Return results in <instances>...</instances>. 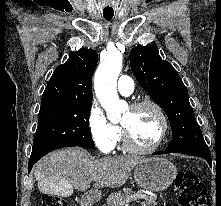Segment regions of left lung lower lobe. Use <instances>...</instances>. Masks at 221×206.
Returning a JSON list of instances; mask_svg holds the SVG:
<instances>
[{
    "label": "left lung lower lobe",
    "instance_id": "0a47b994",
    "mask_svg": "<svg viewBox=\"0 0 221 206\" xmlns=\"http://www.w3.org/2000/svg\"><path fill=\"white\" fill-rule=\"evenodd\" d=\"M166 154V153H183V154H188V155H193V156H198L201 158H204L205 160L208 161L209 165L211 166L212 160L210 156V152H204V151H191V150H184V151H173V150H166V151H157L153 154Z\"/></svg>",
    "mask_w": 221,
    "mask_h": 206
}]
</instances>
